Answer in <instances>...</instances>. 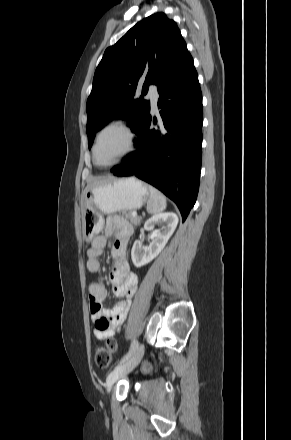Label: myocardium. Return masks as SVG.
<instances>
[{"instance_id": "1", "label": "myocardium", "mask_w": 291, "mask_h": 440, "mask_svg": "<svg viewBox=\"0 0 291 440\" xmlns=\"http://www.w3.org/2000/svg\"><path fill=\"white\" fill-rule=\"evenodd\" d=\"M120 131L125 136V149L123 153L115 160L100 164L96 160V152L98 144L101 140V138L110 131ZM135 145V137L134 133L131 129V127L123 120H112L105 124L103 127L99 129V131L96 133V136L94 138L93 146H92V160L93 163L100 167V168H110L117 164H119L121 161H123L125 158H127L133 151Z\"/></svg>"}]
</instances>
